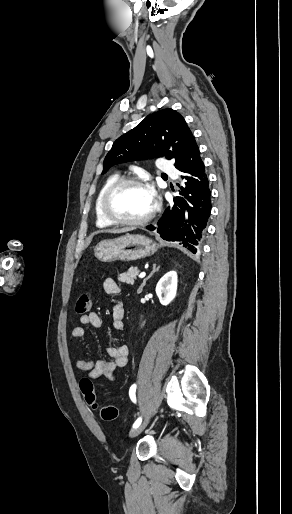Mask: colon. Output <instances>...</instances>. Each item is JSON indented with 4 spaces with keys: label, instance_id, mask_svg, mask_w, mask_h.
<instances>
[{
    "label": "colon",
    "instance_id": "colon-1",
    "mask_svg": "<svg viewBox=\"0 0 292 514\" xmlns=\"http://www.w3.org/2000/svg\"><path fill=\"white\" fill-rule=\"evenodd\" d=\"M92 307V302L90 297L87 294H83L77 298L75 303V311L78 315H85L90 312ZM80 390L85 396V401L93 405L96 409H98L100 417L109 421L117 417L118 409L113 405H100L96 396L94 395V385L91 380L83 379L80 382Z\"/></svg>",
    "mask_w": 292,
    "mask_h": 514
}]
</instances>
